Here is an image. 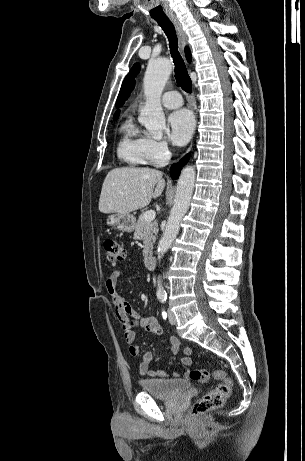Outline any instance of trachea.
I'll list each match as a JSON object with an SVG mask.
<instances>
[{"instance_id":"1","label":"trachea","mask_w":305,"mask_h":461,"mask_svg":"<svg viewBox=\"0 0 305 461\" xmlns=\"http://www.w3.org/2000/svg\"><path fill=\"white\" fill-rule=\"evenodd\" d=\"M163 29L169 40L170 52L175 64V79L177 84L186 92L192 91V81L188 75L185 63L178 52V40L173 24L167 17L154 18Z\"/></svg>"}]
</instances>
